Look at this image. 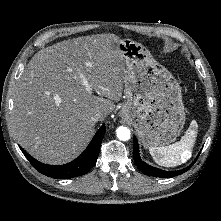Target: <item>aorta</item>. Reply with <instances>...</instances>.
<instances>
[{
    "mask_svg": "<svg viewBox=\"0 0 221 221\" xmlns=\"http://www.w3.org/2000/svg\"><path fill=\"white\" fill-rule=\"evenodd\" d=\"M116 136L119 140L127 141L131 138V132L127 127L120 126L116 130Z\"/></svg>",
    "mask_w": 221,
    "mask_h": 221,
    "instance_id": "aorta-1",
    "label": "aorta"
}]
</instances>
